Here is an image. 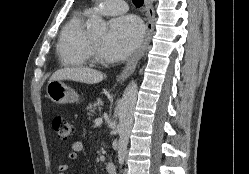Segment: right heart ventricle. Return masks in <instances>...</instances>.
Here are the masks:
<instances>
[{
    "label": "right heart ventricle",
    "instance_id": "1",
    "mask_svg": "<svg viewBox=\"0 0 249 174\" xmlns=\"http://www.w3.org/2000/svg\"><path fill=\"white\" fill-rule=\"evenodd\" d=\"M87 12L77 13L63 27L57 51L66 66L82 67L90 62L89 41L85 25Z\"/></svg>",
    "mask_w": 249,
    "mask_h": 174
}]
</instances>
